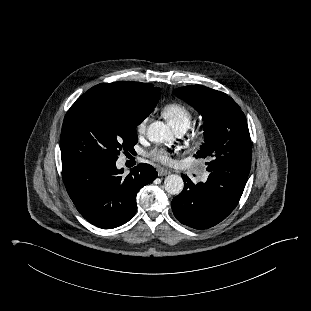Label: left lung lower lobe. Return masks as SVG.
Instances as JSON below:
<instances>
[{"mask_svg": "<svg viewBox=\"0 0 311 311\" xmlns=\"http://www.w3.org/2000/svg\"><path fill=\"white\" fill-rule=\"evenodd\" d=\"M205 183L194 184L186 175L183 191L172 200L174 216L184 225L206 229L224 220L236 207L248 176L209 171Z\"/></svg>", "mask_w": 311, "mask_h": 311, "instance_id": "0a47b994", "label": "left lung lower lobe"}]
</instances>
